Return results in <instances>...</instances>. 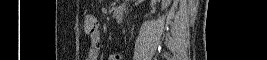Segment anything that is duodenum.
Returning <instances> with one entry per match:
<instances>
[{"label":"duodenum","instance_id":"1","mask_svg":"<svg viewBox=\"0 0 267 60\" xmlns=\"http://www.w3.org/2000/svg\"><path fill=\"white\" fill-rule=\"evenodd\" d=\"M114 16L118 21H122L124 16V9L121 7H116L114 9Z\"/></svg>","mask_w":267,"mask_h":60}]
</instances>
